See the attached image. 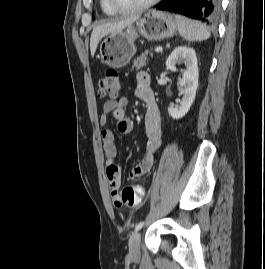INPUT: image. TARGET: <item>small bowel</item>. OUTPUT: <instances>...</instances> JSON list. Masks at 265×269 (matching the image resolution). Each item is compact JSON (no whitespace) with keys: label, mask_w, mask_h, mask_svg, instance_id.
Here are the masks:
<instances>
[{"label":"small bowel","mask_w":265,"mask_h":269,"mask_svg":"<svg viewBox=\"0 0 265 269\" xmlns=\"http://www.w3.org/2000/svg\"><path fill=\"white\" fill-rule=\"evenodd\" d=\"M138 99L144 102L146 107L144 129L146 143L143 149L142 157L138 164L132 169L130 178L142 176L150 171L154 163L155 153L162 144V121L157 106L154 92L150 86V79L146 73L138 75V86L135 90ZM127 99L124 97L116 100H109L103 104V110L99 117V124L102 127L103 150L106 156L105 172L108 185L112 194L113 202L120 206L118 202V189L121 185V169L115 163L117 157V146L113 132L107 128L109 114L112 113L117 121V130L122 135L129 134L133 129L132 121L127 118L125 109Z\"/></svg>","instance_id":"c3829d8e"}]
</instances>
